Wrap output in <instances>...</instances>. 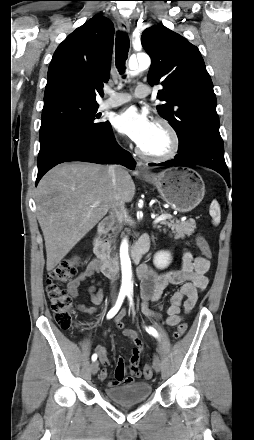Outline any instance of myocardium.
<instances>
[{
	"mask_svg": "<svg viewBox=\"0 0 254 440\" xmlns=\"http://www.w3.org/2000/svg\"><path fill=\"white\" fill-rule=\"evenodd\" d=\"M154 124L164 128L165 131L168 133V135L170 137V146H169L168 150L162 154H148V153H145L140 147H137V149H136L137 154L141 158L148 160V161H153V162L169 161L177 155V153L180 149V138H179L178 132L176 131L174 126L168 120H166L164 118L155 119Z\"/></svg>",
	"mask_w": 254,
	"mask_h": 440,
	"instance_id": "f54148a6",
	"label": "myocardium"
}]
</instances>
